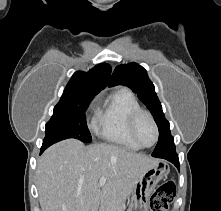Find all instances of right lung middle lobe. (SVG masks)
<instances>
[{"instance_id":"dd1d6c3e","label":"right lung middle lobe","mask_w":221,"mask_h":211,"mask_svg":"<svg viewBox=\"0 0 221 211\" xmlns=\"http://www.w3.org/2000/svg\"><path fill=\"white\" fill-rule=\"evenodd\" d=\"M93 97L94 95H86L60 100L54 107L51 119L46 124L43 145L50 146L67 138L90 143L92 139L87 127L85 112Z\"/></svg>"}]
</instances>
